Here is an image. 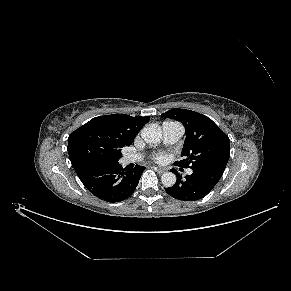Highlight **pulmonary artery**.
I'll use <instances>...</instances> for the list:
<instances>
[{
    "label": "pulmonary artery",
    "mask_w": 291,
    "mask_h": 291,
    "mask_svg": "<svg viewBox=\"0 0 291 291\" xmlns=\"http://www.w3.org/2000/svg\"><path fill=\"white\" fill-rule=\"evenodd\" d=\"M162 131H163V141L165 144H174L176 143L183 135L184 133V127L179 122L174 121H167L164 122L162 125ZM138 155H125L122 158V162L124 164H129L132 162H135L139 160ZM187 174L191 175L192 170L188 169Z\"/></svg>",
    "instance_id": "pulmonary-artery-1"
}]
</instances>
